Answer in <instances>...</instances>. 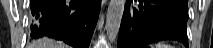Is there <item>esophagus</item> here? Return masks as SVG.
I'll list each match as a JSON object with an SVG mask.
<instances>
[{
  "instance_id": "34e87169",
  "label": "esophagus",
  "mask_w": 213,
  "mask_h": 48,
  "mask_svg": "<svg viewBox=\"0 0 213 48\" xmlns=\"http://www.w3.org/2000/svg\"><path fill=\"white\" fill-rule=\"evenodd\" d=\"M107 3V0H102V6H104Z\"/></svg>"
}]
</instances>
